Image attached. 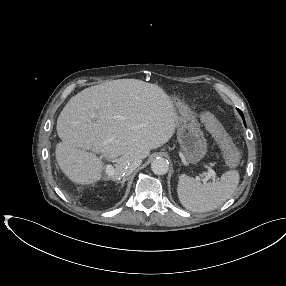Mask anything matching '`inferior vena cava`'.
<instances>
[{
  "instance_id": "inferior-vena-cava-1",
  "label": "inferior vena cava",
  "mask_w": 286,
  "mask_h": 286,
  "mask_svg": "<svg viewBox=\"0 0 286 286\" xmlns=\"http://www.w3.org/2000/svg\"><path fill=\"white\" fill-rule=\"evenodd\" d=\"M142 160L140 158L129 159L125 165L124 174L130 175L138 166H140Z\"/></svg>"
}]
</instances>
